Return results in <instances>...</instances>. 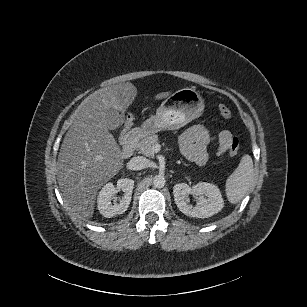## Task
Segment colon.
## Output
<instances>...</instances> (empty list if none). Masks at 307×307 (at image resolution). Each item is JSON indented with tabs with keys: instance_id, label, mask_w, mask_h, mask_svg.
Wrapping results in <instances>:
<instances>
[{
	"instance_id": "5ec220e1",
	"label": "colon",
	"mask_w": 307,
	"mask_h": 307,
	"mask_svg": "<svg viewBox=\"0 0 307 307\" xmlns=\"http://www.w3.org/2000/svg\"><path fill=\"white\" fill-rule=\"evenodd\" d=\"M218 110H219V112H220V114L223 118L230 119L232 117L231 110L226 105L219 104ZM128 122H129V117L124 122L123 128L120 132L121 135H123L125 133L126 125H127ZM238 150H239V142H238L237 138H234L231 141V144H230L229 156H231V157L236 156L237 153H238Z\"/></svg>"
}]
</instances>
